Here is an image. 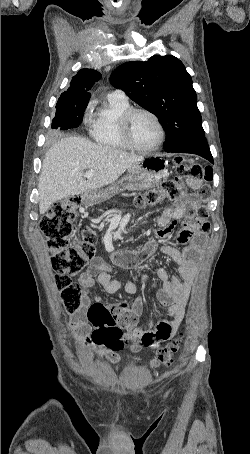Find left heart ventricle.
I'll return each instance as SVG.
<instances>
[{
  "label": "left heart ventricle",
  "mask_w": 250,
  "mask_h": 454,
  "mask_svg": "<svg viewBox=\"0 0 250 454\" xmlns=\"http://www.w3.org/2000/svg\"><path fill=\"white\" fill-rule=\"evenodd\" d=\"M131 136L137 146L148 148L158 140L159 132L150 116L137 114L131 122Z\"/></svg>",
  "instance_id": "obj_1"
}]
</instances>
